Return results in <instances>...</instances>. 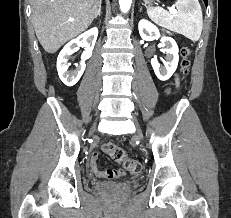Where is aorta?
I'll use <instances>...</instances> for the list:
<instances>
[{
    "mask_svg": "<svg viewBox=\"0 0 231 218\" xmlns=\"http://www.w3.org/2000/svg\"><path fill=\"white\" fill-rule=\"evenodd\" d=\"M132 4V0H119L120 9L122 12H128Z\"/></svg>",
    "mask_w": 231,
    "mask_h": 218,
    "instance_id": "obj_1",
    "label": "aorta"
}]
</instances>
